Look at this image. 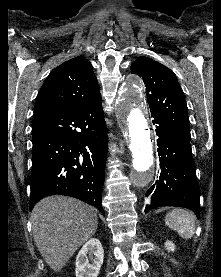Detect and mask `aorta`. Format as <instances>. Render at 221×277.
I'll list each match as a JSON object with an SVG mask.
<instances>
[{
	"instance_id": "762f6f07",
	"label": "aorta",
	"mask_w": 221,
	"mask_h": 277,
	"mask_svg": "<svg viewBox=\"0 0 221 277\" xmlns=\"http://www.w3.org/2000/svg\"><path fill=\"white\" fill-rule=\"evenodd\" d=\"M141 91L140 80L135 76H130L122 86L116 107L125 135L130 139L129 148L133 156L131 182L136 187L149 184L155 172L149 121Z\"/></svg>"
}]
</instances>
